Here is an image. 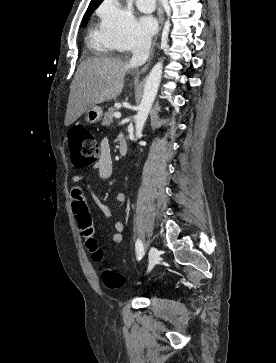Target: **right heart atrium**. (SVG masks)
Returning <instances> with one entry per match:
<instances>
[{
    "mask_svg": "<svg viewBox=\"0 0 276 363\" xmlns=\"http://www.w3.org/2000/svg\"><path fill=\"white\" fill-rule=\"evenodd\" d=\"M100 16L102 31L119 50H130L148 43L131 10L117 0H106Z\"/></svg>",
    "mask_w": 276,
    "mask_h": 363,
    "instance_id": "right-heart-atrium-1",
    "label": "right heart atrium"
}]
</instances>
